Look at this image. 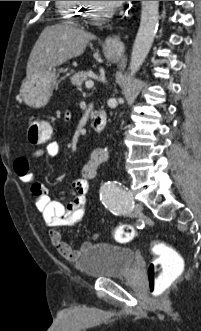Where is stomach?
I'll return each instance as SVG.
<instances>
[{"label":"stomach","instance_id":"stomach-1","mask_svg":"<svg viewBox=\"0 0 201 331\" xmlns=\"http://www.w3.org/2000/svg\"><path fill=\"white\" fill-rule=\"evenodd\" d=\"M106 56L113 61H118L120 56L110 50H105ZM57 76L52 69H46L39 74L27 77L21 86V95L24 101L31 107H44L56 84Z\"/></svg>","mask_w":201,"mask_h":331}]
</instances>
